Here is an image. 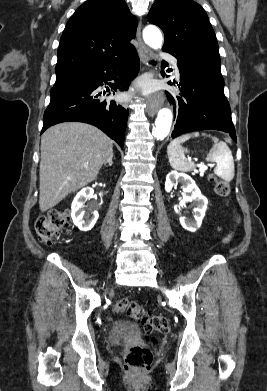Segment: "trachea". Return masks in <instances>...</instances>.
Masks as SVG:
<instances>
[{"label": "trachea", "instance_id": "3493384b", "mask_svg": "<svg viewBox=\"0 0 267 391\" xmlns=\"http://www.w3.org/2000/svg\"><path fill=\"white\" fill-rule=\"evenodd\" d=\"M150 63H152V64H156V62H154V61H152V60L150 61Z\"/></svg>", "mask_w": 267, "mask_h": 391}]
</instances>
